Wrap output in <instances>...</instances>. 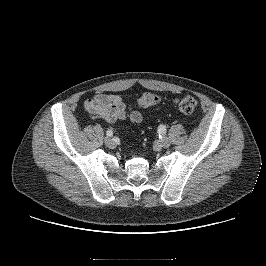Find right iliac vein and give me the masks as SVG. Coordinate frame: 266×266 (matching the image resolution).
<instances>
[{
	"label": "right iliac vein",
	"mask_w": 266,
	"mask_h": 266,
	"mask_svg": "<svg viewBox=\"0 0 266 266\" xmlns=\"http://www.w3.org/2000/svg\"><path fill=\"white\" fill-rule=\"evenodd\" d=\"M105 144H106L107 147H109L111 149L115 148V146H116L115 141L113 139H111V138H106L105 139Z\"/></svg>",
	"instance_id": "1"
}]
</instances>
